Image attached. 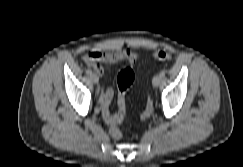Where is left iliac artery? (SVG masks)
Instances as JSON below:
<instances>
[{"label":"left iliac artery","instance_id":"44dca946","mask_svg":"<svg viewBox=\"0 0 243 167\" xmlns=\"http://www.w3.org/2000/svg\"><path fill=\"white\" fill-rule=\"evenodd\" d=\"M160 76H161V77H164V76H165V71H161V72H160Z\"/></svg>","mask_w":243,"mask_h":167}]
</instances>
